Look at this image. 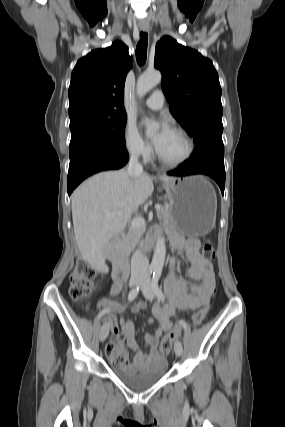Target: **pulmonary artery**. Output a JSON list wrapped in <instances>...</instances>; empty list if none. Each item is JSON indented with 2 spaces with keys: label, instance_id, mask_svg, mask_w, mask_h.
I'll use <instances>...</instances> for the list:
<instances>
[{
  "label": "pulmonary artery",
  "instance_id": "obj_1",
  "mask_svg": "<svg viewBox=\"0 0 285 427\" xmlns=\"http://www.w3.org/2000/svg\"><path fill=\"white\" fill-rule=\"evenodd\" d=\"M164 95L162 91L156 90L154 91L145 101L147 107L153 110H159L164 105Z\"/></svg>",
  "mask_w": 285,
  "mask_h": 427
}]
</instances>
